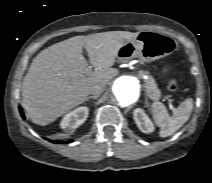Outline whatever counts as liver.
<instances>
[{
	"label": "liver",
	"instance_id": "obj_1",
	"mask_svg": "<svg viewBox=\"0 0 212 183\" xmlns=\"http://www.w3.org/2000/svg\"><path fill=\"white\" fill-rule=\"evenodd\" d=\"M138 33L109 31L75 36L42 50L22 84V104L32 122L45 126L83 103L93 85L106 86L118 74L112 66L119 50ZM83 47L97 69L94 72L87 68Z\"/></svg>",
	"mask_w": 212,
	"mask_h": 183
}]
</instances>
